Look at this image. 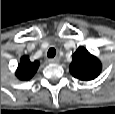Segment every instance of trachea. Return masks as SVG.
Returning a JSON list of instances; mask_svg holds the SVG:
<instances>
[{
  "mask_svg": "<svg viewBox=\"0 0 115 114\" xmlns=\"http://www.w3.org/2000/svg\"><path fill=\"white\" fill-rule=\"evenodd\" d=\"M55 55H56V50H55V48H50V49L48 50V52H47V56H48L49 58H53V57H55Z\"/></svg>",
  "mask_w": 115,
  "mask_h": 114,
  "instance_id": "1",
  "label": "trachea"
}]
</instances>
